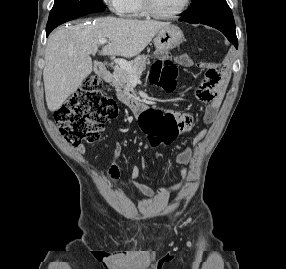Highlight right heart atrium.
I'll return each mask as SVG.
<instances>
[{"instance_id": "1", "label": "right heart atrium", "mask_w": 286, "mask_h": 269, "mask_svg": "<svg viewBox=\"0 0 286 269\" xmlns=\"http://www.w3.org/2000/svg\"><path fill=\"white\" fill-rule=\"evenodd\" d=\"M113 13H121L124 0H103Z\"/></svg>"}]
</instances>
